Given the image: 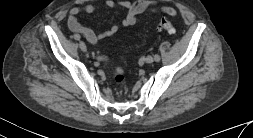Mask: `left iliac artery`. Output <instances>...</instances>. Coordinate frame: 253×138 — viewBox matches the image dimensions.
Masks as SVG:
<instances>
[{"label": "left iliac artery", "mask_w": 253, "mask_h": 138, "mask_svg": "<svg viewBox=\"0 0 253 138\" xmlns=\"http://www.w3.org/2000/svg\"><path fill=\"white\" fill-rule=\"evenodd\" d=\"M154 59H155L156 62H159L160 61V56L158 54H155Z\"/></svg>", "instance_id": "44dca946"}]
</instances>
